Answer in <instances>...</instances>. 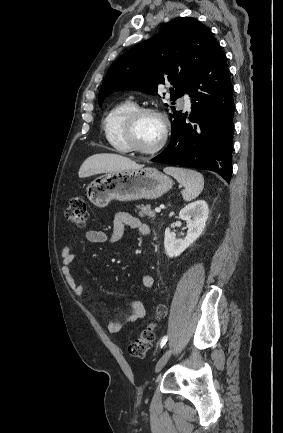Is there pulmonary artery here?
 <instances>
[{
  "mask_svg": "<svg viewBox=\"0 0 283 433\" xmlns=\"http://www.w3.org/2000/svg\"><path fill=\"white\" fill-rule=\"evenodd\" d=\"M178 104L183 107L185 110H190L192 107V100L189 94H183L178 98Z\"/></svg>",
  "mask_w": 283,
  "mask_h": 433,
  "instance_id": "1",
  "label": "pulmonary artery"
}]
</instances>
